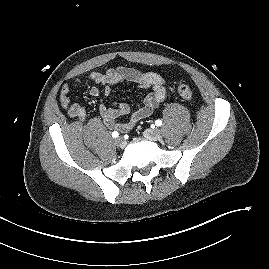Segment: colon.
<instances>
[{
  "label": "colon",
  "instance_id": "5ec220e1",
  "mask_svg": "<svg viewBox=\"0 0 269 269\" xmlns=\"http://www.w3.org/2000/svg\"><path fill=\"white\" fill-rule=\"evenodd\" d=\"M178 93L181 96V98L187 103H190L192 101L193 98L192 90L186 82L184 81L179 82Z\"/></svg>",
  "mask_w": 269,
  "mask_h": 269
}]
</instances>
